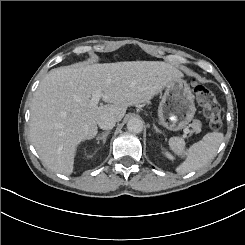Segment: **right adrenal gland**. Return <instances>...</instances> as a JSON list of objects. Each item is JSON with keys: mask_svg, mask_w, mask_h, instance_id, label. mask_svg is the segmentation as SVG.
Returning a JSON list of instances; mask_svg holds the SVG:
<instances>
[{"mask_svg": "<svg viewBox=\"0 0 245 245\" xmlns=\"http://www.w3.org/2000/svg\"><path fill=\"white\" fill-rule=\"evenodd\" d=\"M110 132H111V131H105V132L102 133V134H97V135H96V139L101 138V139H103L104 142H106V138H107V136L110 134ZM98 143H100V142L98 141Z\"/></svg>", "mask_w": 245, "mask_h": 245, "instance_id": "2a0ac1e0", "label": "right adrenal gland"}]
</instances>
